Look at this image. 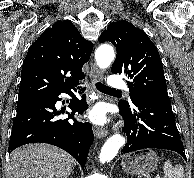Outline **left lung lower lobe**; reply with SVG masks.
I'll use <instances>...</instances> for the list:
<instances>
[{"mask_svg": "<svg viewBox=\"0 0 194 178\" xmlns=\"http://www.w3.org/2000/svg\"><path fill=\"white\" fill-rule=\"evenodd\" d=\"M131 100V108L119 104L128 137L121 152L159 148L175 151L186 160L169 96L134 93Z\"/></svg>", "mask_w": 194, "mask_h": 178, "instance_id": "obj_1", "label": "left lung lower lobe"}]
</instances>
